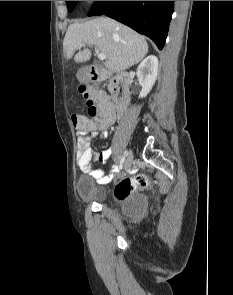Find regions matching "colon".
I'll return each mask as SVG.
<instances>
[{
    "label": "colon",
    "mask_w": 233,
    "mask_h": 295,
    "mask_svg": "<svg viewBox=\"0 0 233 295\" xmlns=\"http://www.w3.org/2000/svg\"><path fill=\"white\" fill-rule=\"evenodd\" d=\"M79 91L86 100L89 116L74 113L72 115V121L75 128L82 131L97 126L103 120L105 113L98 106L97 101L100 92L96 88L81 85L79 87ZM147 183V177L143 174L137 175L133 178H124L115 186V197L118 200H123L131 193L134 188L146 186Z\"/></svg>",
    "instance_id": "obj_1"
}]
</instances>
